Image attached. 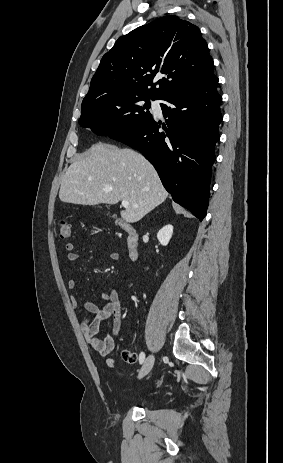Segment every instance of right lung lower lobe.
Returning <instances> with one entry per match:
<instances>
[{
    "mask_svg": "<svg viewBox=\"0 0 283 463\" xmlns=\"http://www.w3.org/2000/svg\"><path fill=\"white\" fill-rule=\"evenodd\" d=\"M218 78L183 87L161 98L166 125L153 117L136 129L113 136L139 150L155 167L173 200L200 221L206 215L214 147L222 121Z\"/></svg>",
    "mask_w": 283,
    "mask_h": 463,
    "instance_id": "obj_1",
    "label": "right lung lower lobe"
}]
</instances>
